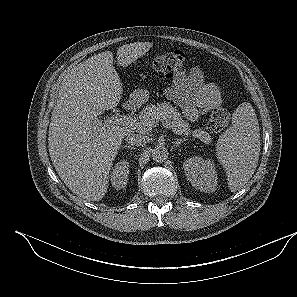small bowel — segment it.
I'll return each instance as SVG.
<instances>
[{
  "label": "small bowel",
  "instance_id": "obj_1",
  "mask_svg": "<svg viewBox=\"0 0 297 297\" xmlns=\"http://www.w3.org/2000/svg\"><path fill=\"white\" fill-rule=\"evenodd\" d=\"M164 94L182 110L184 117L190 122L197 121L202 114L214 110L223 102L219 87L205 82L199 68L177 74Z\"/></svg>",
  "mask_w": 297,
  "mask_h": 297
}]
</instances>
